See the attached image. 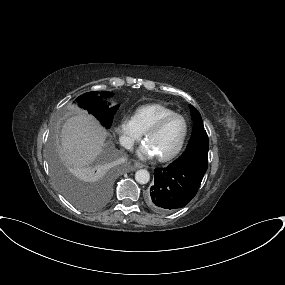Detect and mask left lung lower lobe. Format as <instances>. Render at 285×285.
Masks as SVG:
<instances>
[{
    "label": "left lung lower lobe",
    "mask_w": 285,
    "mask_h": 285,
    "mask_svg": "<svg viewBox=\"0 0 285 285\" xmlns=\"http://www.w3.org/2000/svg\"><path fill=\"white\" fill-rule=\"evenodd\" d=\"M203 176L195 169L172 164L155 169L154 185L147 196L149 207L161 213L183 208L196 195Z\"/></svg>",
    "instance_id": "left-lung-lower-lobe-1"
}]
</instances>
